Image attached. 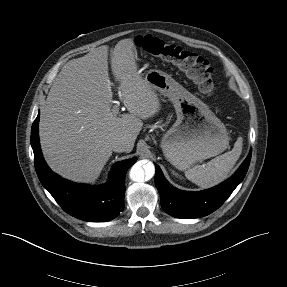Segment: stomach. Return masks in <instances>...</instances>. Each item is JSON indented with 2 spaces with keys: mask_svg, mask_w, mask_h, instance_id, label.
<instances>
[{
  "mask_svg": "<svg viewBox=\"0 0 287 287\" xmlns=\"http://www.w3.org/2000/svg\"><path fill=\"white\" fill-rule=\"evenodd\" d=\"M144 80L174 105L177 120L160 143L165 158L173 166L186 170L228 147L229 138L224 124L199 98L160 70H149Z\"/></svg>",
  "mask_w": 287,
  "mask_h": 287,
  "instance_id": "stomach-1",
  "label": "stomach"
}]
</instances>
